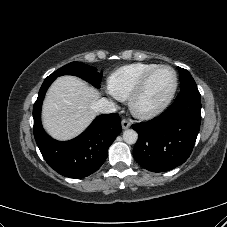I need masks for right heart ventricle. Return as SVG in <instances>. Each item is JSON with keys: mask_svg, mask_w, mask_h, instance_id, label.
Here are the masks:
<instances>
[{"mask_svg": "<svg viewBox=\"0 0 227 227\" xmlns=\"http://www.w3.org/2000/svg\"><path fill=\"white\" fill-rule=\"evenodd\" d=\"M156 66L155 63H133L118 68L107 80L109 92L119 100L129 99L142 77Z\"/></svg>", "mask_w": 227, "mask_h": 227, "instance_id": "e07e8e85", "label": "right heart ventricle"}]
</instances>
